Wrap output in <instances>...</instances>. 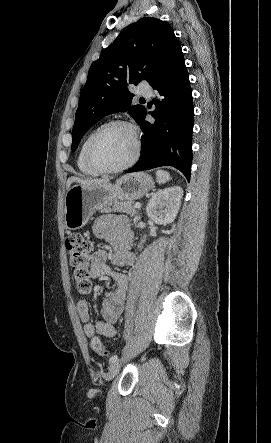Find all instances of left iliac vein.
<instances>
[{"mask_svg": "<svg viewBox=\"0 0 271 443\" xmlns=\"http://www.w3.org/2000/svg\"><path fill=\"white\" fill-rule=\"evenodd\" d=\"M121 364V361H116L110 365L106 376L107 380H112L119 373Z\"/></svg>", "mask_w": 271, "mask_h": 443, "instance_id": "obj_1", "label": "left iliac vein"}]
</instances>
